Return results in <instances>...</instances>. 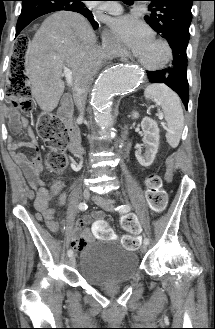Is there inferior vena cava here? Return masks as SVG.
<instances>
[{
    "label": "inferior vena cava",
    "mask_w": 215,
    "mask_h": 329,
    "mask_svg": "<svg viewBox=\"0 0 215 329\" xmlns=\"http://www.w3.org/2000/svg\"><path fill=\"white\" fill-rule=\"evenodd\" d=\"M112 55V50L107 44L92 49L85 57L79 75L73 85V97L76 107L83 117L85 111V103L93 76L100 68L104 59Z\"/></svg>",
    "instance_id": "inferior-vena-cava-1"
}]
</instances>
